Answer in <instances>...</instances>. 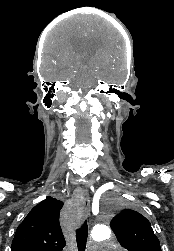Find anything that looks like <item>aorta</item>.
<instances>
[{
	"instance_id": "1",
	"label": "aorta",
	"mask_w": 174,
	"mask_h": 251,
	"mask_svg": "<svg viewBox=\"0 0 174 251\" xmlns=\"http://www.w3.org/2000/svg\"><path fill=\"white\" fill-rule=\"evenodd\" d=\"M111 237V230L109 226L104 222H99L94 228L92 232V239L97 243H102Z\"/></svg>"
}]
</instances>
